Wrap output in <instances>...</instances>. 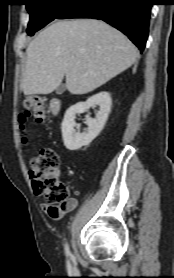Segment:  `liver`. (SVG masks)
Segmentation results:
<instances>
[{
    "label": "liver",
    "instance_id": "liver-1",
    "mask_svg": "<svg viewBox=\"0 0 174 278\" xmlns=\"http://www.w3.org/2000/svg\"><path fill=\"white\" fill-rule=\"evenodd\" d=\"M21 77L25 95L50 94L64 76L74 95L100 87L133 65L134 44L120 31L96 19L56 21L30 42Z\"/></svg>",
    "mask_w": 174,
    "mask_h": 278
}]
</instances>
